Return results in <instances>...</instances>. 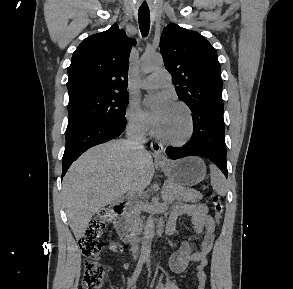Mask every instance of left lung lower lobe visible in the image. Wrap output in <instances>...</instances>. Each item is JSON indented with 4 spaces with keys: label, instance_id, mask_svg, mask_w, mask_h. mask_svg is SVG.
<instances>
[{
    "label": "left lung lower lobe",
    "instance_id": "obj_1",
    "mask_svg": "<svg viewBox=\"0 0 293 289\" xmlns=\"http://www.w3.org/2000/svg\"><path fill=\"white\" fill-rule=\"evenodd\" d=\"M192 113L194 132L190 141L180 148L168 147L166 154L171 159L193 155L208 158L227 177L223 112L200 108Z\"/></svg>",
    "mask_w": 293,
    "mask_h": 289
}]
</instances>
